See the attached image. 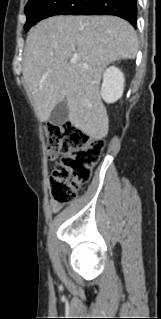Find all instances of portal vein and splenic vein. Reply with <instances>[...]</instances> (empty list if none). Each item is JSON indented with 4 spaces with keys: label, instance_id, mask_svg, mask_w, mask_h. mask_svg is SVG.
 Wrapping results in <instances>:
<instances>
[{
    "label": "portal vein and splenic vein",
    "instance_id": "1",
    "mask_svg": "<svg viewBox=\"0 0 161 319\" xmlns=\"http://www.w3.org/2000/svg\"><path fill=\"white\" fill-rule=\"evenodd\" d=\"M77 60H78L77 57H73V58L70 59V62L72 64H75L77 62Z\"/></svg>",
    "mask_w": 161,
    "mask_h": 319
}]
</instances>
